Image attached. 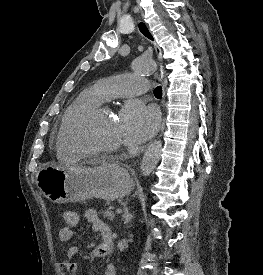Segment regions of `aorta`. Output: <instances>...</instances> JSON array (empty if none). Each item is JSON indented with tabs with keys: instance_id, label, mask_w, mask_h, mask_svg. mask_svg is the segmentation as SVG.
Here are the masks:
<instances>
[{
	"instance_id": "obj_1",
	"label": "aorta",
	"mask_w": 263,
	"mask_h": 275,
	"mask_svg": "<svg viewBox=\"0 0 263 275\" xmlns=\"http://www.w3.org/2000/svg\"><path fill=\"white\" fill-rule=\"evenodd\" d=\"M132 67L135 72L140 74H151L156 70V64L150 59H136ZM162 153V142L155 140L150 143L147 150L144 153L142 162L140 165L142 176H149L156 167Z\"/></svg>"
}]
</instances>
